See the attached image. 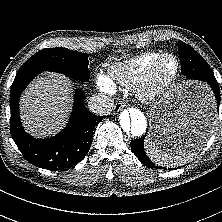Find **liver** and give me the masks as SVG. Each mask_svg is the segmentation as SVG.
I'll list each match as a JSON object with an SVG mask.
<instances>
[{
	"mask_svg": "<svg viewBox=\"0 0 222 222\" xmlns=\"http://www.w3.org/2000/svg\"><path fill=\"white\" fill-rule=\"evenodd\" d=\"M69 79L50 73L35 79L20 100L21 120L27 131L44 137L57 133L68 117L72 97Z\"/></svg>",
	"mask_w": 222,
	"mask_h": 222,
	"instance_id": "obj_1",
	"label": "liver"
}]
</instances>
